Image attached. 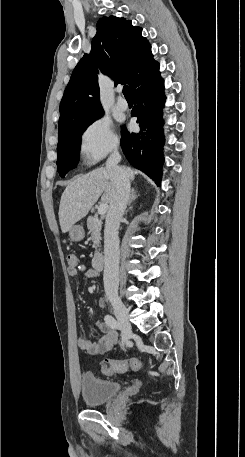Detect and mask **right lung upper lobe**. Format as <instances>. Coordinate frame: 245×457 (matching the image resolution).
Returning a JSON list of instances; mask_svg holds the SVG:
<instances>
[{"mask_svg":"<svg viewBox=\"0 0 245 457\" xmlns=\"http://www.w3.org/2000/svg\"><path fill=\"white\" fill-rule=\"evenodd\" d=\"M140 27L115 16L102 17L92 40L91 53L79 61L60 103L58 128L102 110L97 69L115 82L124 81L130 90L159 67Z\"/></svg>","mask_w":245,"mask_h":457,"instance_id":"obj_1","label":"right lung upper lobe"}]
</instances>
